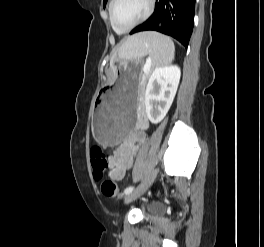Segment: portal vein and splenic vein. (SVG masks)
<instances>
[{
    "mask_svg": "<svg viewBox=\"0 0 264 247\" xmlns=\"http://www.w3.org/2000/svg\"><path fill=\"white\" fill-rule=\"evenodd\" d=\"M150 67H151V61L148 60L146 62V64L144 65V67H143V71H144L145 74H148L149 73Z\"/></svg>",
    "mask_w": 264,
    "mask_h": 247,
    "instance_id": "obj_1",
    "label": "portal vein and splenic vein"
}]
</instances>
